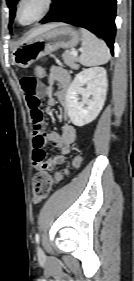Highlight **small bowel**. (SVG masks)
I'll return each mask as SVG.
<instances>
[{
    "label": "small bowel",
    "instance_id": "c3829d8e",
    "mask_svg": "<svg viewBox=\"0 0 134 281\" xmlns=\"http://www.w3.org/2000/svg\"><path fill=\"white\" fill-rule=\"evenodd\" d=\"M20 86L25 93L26 102L30 111L33 125V165L40 171H50L56 166L63 164L65 155L70 152V146L76 137L75 127L69 123H63L62 133H46L43 112L40 108L41 99H46V110L56 104L53 96V86L57 85V98L66 106L68 102V88L71 83L70 73L53 65L47 75V85L32 75H24L20 78ZM51 142L59 149V153L46 159L45 146Z\"/></svg>",
    "mask_w": 134,
    "mask_h": 281
}]
</instances>
